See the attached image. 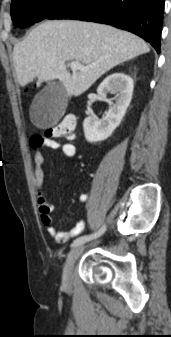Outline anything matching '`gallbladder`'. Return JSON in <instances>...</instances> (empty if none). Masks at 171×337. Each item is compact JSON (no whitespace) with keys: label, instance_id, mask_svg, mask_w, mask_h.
I'll list each match as a JSON object with an SVG mask.
<instances>
[{"label":"gallbladder","instance_id":"1","mask_svg":"<svg viewBox=\"0 0 171 337\" xmlns=\"http://www.w3.org/2000/svg\"><path fill=\"white\" fill-rule=\"evenodd\" d=\"M67 93L61 82L53 81L36 94L30 109V118L39 128L55 125L64 114Z\"/></svg>","mask_w":171,"mask_h":337}]
</instances>
